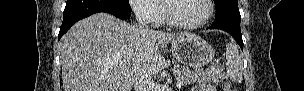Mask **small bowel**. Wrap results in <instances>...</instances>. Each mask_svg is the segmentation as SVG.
I'll return each mask as SVG.
<instances>
[{"label":"small bowel","mask_w":304,"mask_h":91,"mask_svg":"<svg viewBox=\"0 0 304 91\" xmlns=\"http://www.w3.org/2000/svg\"><path fill=\"white\" fill-rule=\"evenodd\" d=\"M192 91H214V88L208 83H199Z\"/></svg>","instance_id":"obj_1"}]
</instances>
